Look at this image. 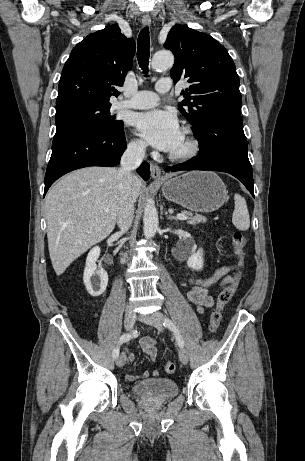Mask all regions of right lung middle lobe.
I'll use <instances>...</instances> for the list:
<instances>
[{
  "label": "right lung middle lobe",
  "instance_id": "dd1d6c3e",
  "mask_svg": "<svg viewBox=\"0 0 305 461\" xmlns=\"http://www.w3.org/2000/svg\"><path fill=\"white\" fill-rule=\"evenodd\" d=\"M110 103L81 102L56 108V126L80 124L96 130L111 131L123 126V121L110 115Z\"/></svg>",
  "mask_w": 305,
  "mask_h": 461
}]
</instances>
